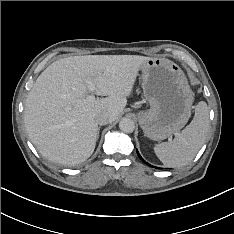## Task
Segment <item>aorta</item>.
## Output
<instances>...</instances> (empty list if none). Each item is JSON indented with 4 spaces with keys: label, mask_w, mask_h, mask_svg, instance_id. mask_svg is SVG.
<instances>
[{
    "label": "aorta",
    "mask_w": 234,
    "mask_h": 234,
    "mask_svg": "<svg viewBox=\"0 0 234 234\" xmlns=\"http://www.w3.org/2000/svg\"><path fill=\"white\" fill-rule=\"evenodd\" d=\"M119 128L125 133H132L135 129L134 121L130 118H122L119 122Z\"/></svg>",
    "instance_id": "obj_1"
}]
</instances>
